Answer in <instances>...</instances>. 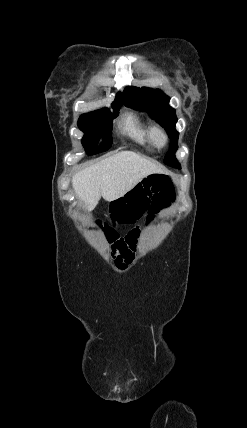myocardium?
Wrapping results in <instances>:
<instances>
[{
    "mask_svg": "<svg viewBox=\"0 0 247 428\" xmlns=\"http://www.w3.org/2000/svg\"><path fill=\"white\" fill-rule=\"evenodd\" d=\"M151 132L153 141L157 146L163 147L167 144V134L161 127L155 126L151 129Z\"/></svg>",
    "mask_w": 247,
    "mask_h": 428,
    "instance_id": "1",
    "label": "myocardium"
}]
</instances>
